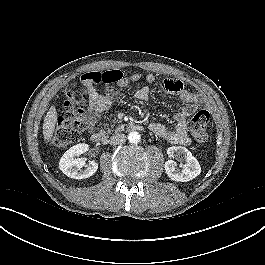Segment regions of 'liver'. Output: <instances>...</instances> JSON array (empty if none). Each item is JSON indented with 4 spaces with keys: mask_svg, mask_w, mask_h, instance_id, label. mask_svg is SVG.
Segmentation results:
<instances>
[{
    "mask_svg": "<svg viewBox=\"0 0 265 265\" xmlns=\"http://www.w3.org/2000/svg\"><path fill=\"white\" fill-rule=\"evenodd\" d=\"M56 122H57L56 108L55 106H51L44 118V123H43V136L46 141L51 140L53 132L55 130Z\"/></svg>",
    "mask_w": 265,
    "mask_h": 265,
    "instance_id": "liver-1",
    "label": "liver"
}]
</instances>
